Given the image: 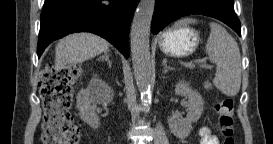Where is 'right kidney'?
Masks as SVG:
<instances>
[{
	"instance_id": "right-kidney-1",
	"label": "right kidney",
	"mask_w": 273,
	"mask_h": 144,
	"mask_svg": "<svg viewBox=\"0 0 273 144\" xmlns=\"http://www.w3.org/2000/svg\"><path fill=\"white\" fill-rule=\"evenodd\" d=\"M96 82H100L102 83V85H105L101 80L98 79H94L93 80V84ZM91 84V90L87 89V90H82L78 93L77 95V109L80 112V117L81 119L87 123L90 127L96 129L99 127L100 123H99V118L95 112V109L93 108V106L91 105L92 103V85Z\"/></svg>"
}]
</instances>
